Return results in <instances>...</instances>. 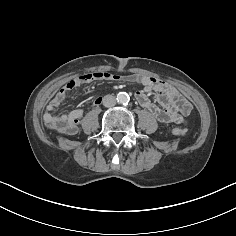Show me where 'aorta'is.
Here are the masks:
<instances>
[{"mask_svg": "<svg viewBox=\"0 0 236 236\" xmlns=\"http://www.w3.org/2000/svg\"><path fill=\"white\" fill-rule=\"evenodd\" d=\"M129 100H130V97L126 92H120L117 95V101L120 104L126 105V104H128Z\"/></svg>", "mask_w": 236, "mask_h": 236, "instance_id": "obj_1", "label": "aorta"}]
</instances>
